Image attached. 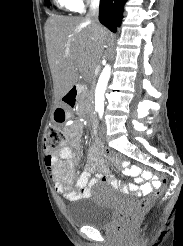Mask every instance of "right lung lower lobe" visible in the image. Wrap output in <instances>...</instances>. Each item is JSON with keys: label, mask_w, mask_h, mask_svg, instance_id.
Listing matches in <instances>:
<instances>
[{"label": "right lung lower lobe", "mask_w": 183, "mask_h": 246, "mask_svg": "<svg viewBox=\"0 0 183 246\" xmlns=\"http://www.w3.org/2000/svg\"><path fill=\"white\" fill-rule=\"evenodd\" d=\"M127 0H100L99 21L112 32L121 25L123 7Z\"/></svg>", "instance_id": "1"}]
</instances>
